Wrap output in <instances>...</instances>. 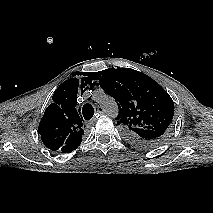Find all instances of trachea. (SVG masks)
Masks as SVG:
<instances>
[{"mask_svg":"<svg viewBox=\"0 0 213 213\" xmlns=\"http://www.w3.org/2000/svg\"><path fill=\"white\" fill-rule=\"evenodd\" d=\"M82 114L85 120H90L94 115V108L91 104H85L82 108Z\"/></svg>","mask_w":213,"mask_h":213,"instance_id":"obj_1","label":"trachea"}]
</instances>
